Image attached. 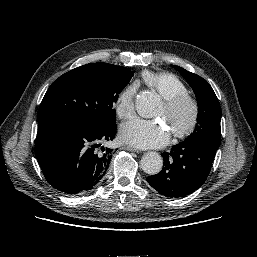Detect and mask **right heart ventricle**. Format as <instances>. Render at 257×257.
<instances>
[{"instance_id":"obj_1","label":"right heart ventricle","mask_w":257,"mask_h":257,"mask_svg":"<svg viewBox=\"0 0 257 257\" xmlns=\"http://www.w3.org/2000/svg\"><path fill=\"white\" fill-rule=\"evenodd\" d=\"M143 82L162 98H169L187 92L186 85L174 74L169 72H149L141 74Z\"/></svg>"}]
</instances>
